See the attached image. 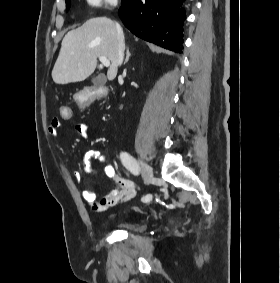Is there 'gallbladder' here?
Listing matches in <instances>:
<instances>
[{
	"mask_svg": "<svg viewBox=\"0 0 280 283\" xmlns=\"http://www.w3.org/2000/svg\"><path fill=\"white\" fill-rule=\"evenodd\" d=\"M105 82L106 78L102 74H98L96 77L92 78V83L97 87L103 86Z\"/></svg>",
	"mask_w": 280,
	"mask_h": 283,
	"instance_id": "gallbladder-1",
	"label": "gallbladder"
}]
</instances>
